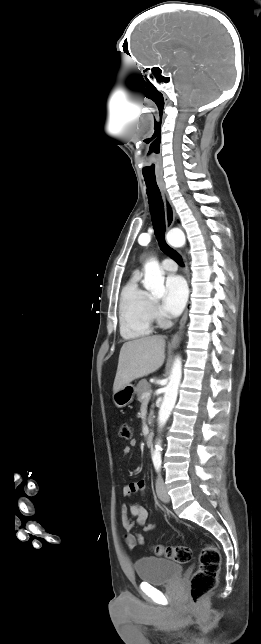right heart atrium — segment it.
<instances>
[{"label": "right heart atrium", "instance_id": "d8ad5b80", "mask_svg": "<svg viewBox=\"0 0 261 644\" xmlns=\"http://www.w3.org/2000/svg\"><path fill=\"white\" fill-rule=\"evenodd\" d=\"M152 312L155 319H157L158 321L162 320V315H161L159 306L156 303L152 304Z\"/></svg>", "mask_w": 261, "mask_h": 644}]
</instances>
